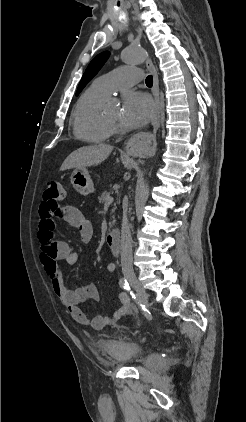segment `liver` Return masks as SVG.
Wrapping results in <instances>:
<instances>
[{"label": "liver", "mask_w": 246, "mask_h": 422, "mask_svg": "<svg viewBox=\"0 0 246 422\" xmlns=\"http://www.w3.org/2000/svg\"><path fill=\"white\" fill-rule=\"evenodd\" d=\"M110 145L99 144L95 146L81 147L72 152L63 162L60 171L67 169H82L85 167L101 164L112 152Z\"/></svg>", "instance_id": "obj_1"}]
</instances>
